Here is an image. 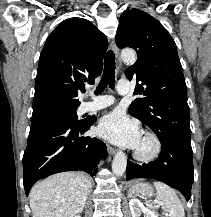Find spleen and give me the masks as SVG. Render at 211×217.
<instances>
[{"label": "spleen", "mask_w": 211, "mask_h": 217, "mask_svg": "<svg viewBox=\"0 0 211 217\" xmlns=\"http://www.w3.org/2000/svg\"><path fill=\"white\" fill-rule=\"evenodd\" d=\"M154 186L157 190L156 200L161 208L168 212L170 217H185L184 207L175 191L162 182H154ZM147 206L154 209L152 204L147 203Z\"/></svg>", "instance_id": "spleen-1"}]
</instances>
